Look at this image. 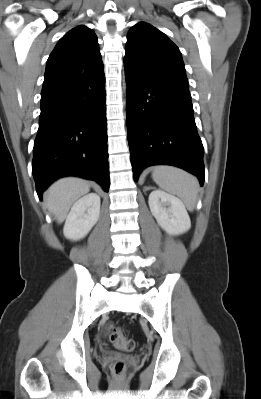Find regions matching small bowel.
Here are the masks:
<instances>
[{
    "label": "small bowel",
    "mask_w": 261,
    "mask_h": 399,
    "mask_svg": "<svg viewBox=\"0 0 261 399\" xmlns=\"http://www.w3.org/2000/svg\"><path fill=\"white\" fill-rule=\"evenodd\" d=\"M109 326H110V325H107V326L105 327V330H107V329L109 328Z\"/></svg>",
    "instance_id": "obj_1"
}]
</instances>
